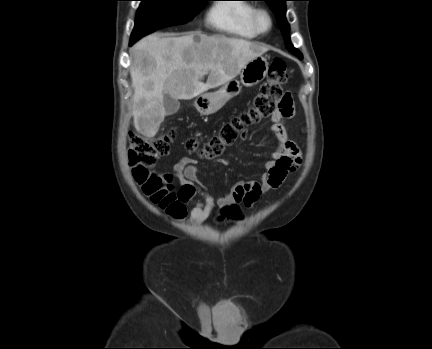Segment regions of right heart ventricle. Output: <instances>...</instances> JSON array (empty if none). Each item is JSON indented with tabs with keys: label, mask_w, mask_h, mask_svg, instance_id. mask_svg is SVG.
Listing matches in <instances>:
<instances>
[{
	"label": "right heart ventricle",
	"mask_w": 432,
	"mask_h": 349,
	"mask_svg": "<svg viewBox=\"0 0 432 349\" xmlns=\"http://www.w3.org/2000/svg\"><path fill=\"white\" fill-rule=\"evenodd\" d=\"M231 1V2H223ZM244 0H221L214 3L207 14L208 24L229 36L254 39L258 36L252 25V14L256 7Z\"/></svg>",
	"instance_id": "right-heart-ventricle-1"
}]
</instances>
